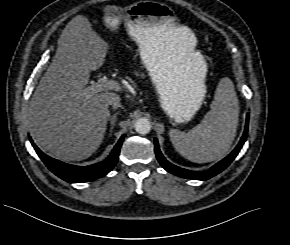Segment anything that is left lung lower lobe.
I'll use <instances>...</instances> for the list:
<instances>
[{"instance_id":"1","label":"left lung lower lobe","mask_w":290,"mask_h":245,"mask_svg":"<svg viewBox=\"0 0 290 245\" xmlns=\"http://www.w3.org/2000/svg\"><path fill=\"white\" fill-rule=\"evenodd\" d=\"M247 130H248V116L246 119V127L244 130V134H243L240 142L236 146V148L226 158H224L223 160H221L220 162H218L217 164L212 166L206 172L189 171V170L182 169L180 167H177V166L171 164L163 157L162 153L160 152L157 140H155L156 154H157V157H158L160 164L168 172L175 174L177 176H180V177H184V178L206 180L212 176H215L216 174L220 173L221 171H223L233 161V159L236 157V155L238 154V152L240 151V149L242 148V145L244 144V142L246 140Z\"/></svg>"}]
</instances>
